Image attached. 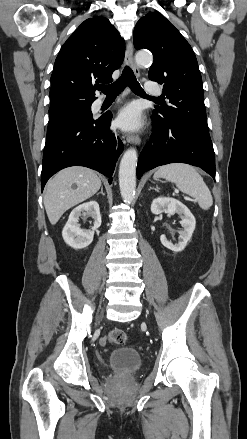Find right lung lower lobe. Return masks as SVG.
<instances>
[{
    "label": "right lung lower lobe",
    "instance_id": "98d812e1",
    "mask_svg": "<svg viewBox=\"0 0 247 439\" xmlns=\"http://www.w3.org/2000/svg\"><path fill=\"white\" fill-rule=\"evenodd\" d=\"M112 114L98 119L82 116L47 129L44 147L41 190L48 179L70 166H85L111 177L123 151L121 139L112 132ZM112 179H109V183Z\"/></svg>",
    "mask_w": 247,
    "mask_h": 439
}]
</instances>
